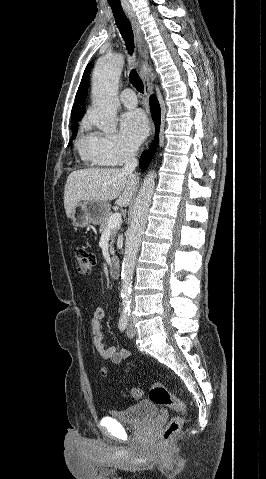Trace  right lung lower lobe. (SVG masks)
<instances>
[{
    "mask_svg": "<svg viewBox=\"0 0 266 479\" xmlns=\"http://www.w3.org/2000/svg\"><path fill=\"white\" fill-rule=\"evenodd\" d=\"M150 103V110L151 114L153 116L154 122H155V128H156V133H155V139L152 143V145L149 147L148 151H144L142 154V157L140 158V168L142 171H145L151 161V158L154 155V152L157 147L158 143V134H159V128H160V116H161V111H160V105L158 103L157 98L152 95L149 100Z\"/></svg>",
    "mask_w": 266,
    "mask_h": 479,
    "instance_id": "obj_1",
    "label": "right lung lower lobe"
}]
</instances>
